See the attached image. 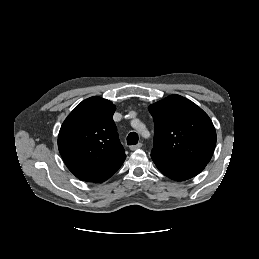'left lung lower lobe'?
<instances>
[{
  "label": "left lung lower lobe",
  "instance_id": "1",
  "mask_svg": "<svg viewBox=\"0 0 259 259\" xmlns=\"http://www.w3.org/2000/svg\"><path fill=\"white\" fill-rule=\"evenodd\" d=\"M151 157L161 173L176 181H184L196 176L207 165L203 162L176 161L154 153H151Z\"/></svg>",
  "mask_w": 259,
  "mask_h": 259
}]
</instances>
